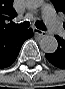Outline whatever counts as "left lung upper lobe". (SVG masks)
Masks as SVG:
<instances>
[{"label":"left lung upper lobe","mask_w":65,"mask_h":89,"mask_svg":"<svg viewBox=\"0 0 65 89\" xmlns=\"http://www.w3.org/2000/svg\"><path fill=\"white\" fill-rule=\"evenodd\" d=\"M52 2L54 3L57 11L65 13V0H52ZM63 24L65 28V22Z\"/></svg>","instance_id":"left-lung-upper-lobe-1"}]
</instances>
